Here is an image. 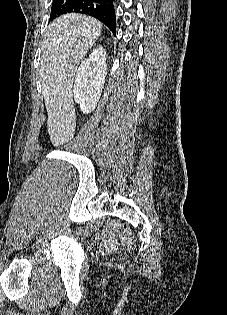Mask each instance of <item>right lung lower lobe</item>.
<instances>
[{"mask_svg":"<svg viewBox=\"0 0 227 315\" xmlns=\"http://www.w3.org/2000/svg\"><path fill=\"white\" fill-rule=\"evenodd\" d=\"M66 13H81L102 21L116 35L113 0H53L50 21Z\"/></svg>","mask_w":227,"mask_h":315,"instance_id":"98d812e1","label":"right lung lower lobe"}]
</instances>
